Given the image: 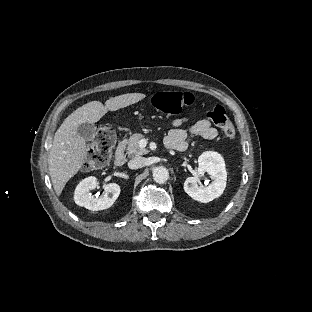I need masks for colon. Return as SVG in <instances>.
Segmentation results:
<instances>
[{"label":"colon","instance_id":"1","mask_svg":"<svg viewBox=\"0 0 312 312\" xmlns=\"http://www.w3.org/2000/svg\"><path fill=\"white\" fill-rule=\"evenodd\" d=\"M193 95L190 92H160L155 100L156 108L167 114H179L183 108L191 105ZM207 121L216 124L229 139H234L236 131L231 124L226 111L216 106L205 113ZM116 143V135L109 125H101L95 133L94 149L86 154L84 164L88 168L105 166Z\"/></svg>","mask_w":312,"mask_h":312}]
</instances>
